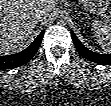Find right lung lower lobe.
Segmentation results:
<instances>
[{
	"instance_id": "98d812e1",
	"label": "right lung lower lobe",
	"mask_w": 111,
	"mask_h": 106,
	"mask_svg": "<svg viewBox=\"0 0 111 106\" xmlns=\"http://www.w3.org/2000/svg\"><path fill=\"white\" fill-rule=\"evenodd\" d=\"M44 30L36 37L34 42L27 47L25 50L6 56H0V69H13L21 65H24L32 59V57L37 52L40 43L43 39Z\"/></svg>"
}]
</instances>
